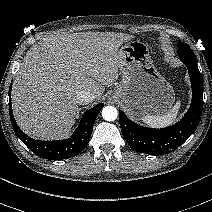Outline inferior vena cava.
Returning <instances> with one entry per match:
<instances>
[{"label": "inferior vena cava", "mask_w": 212, "mask_h": 212, "mask_svg": "<svg viewBox=\"0 0 212 212\" xmlns=\"http://www.w3.org/2000/svg\"><path fill=\"white\" fill-rule=\"evenodd\" d=\"M77 103L85 105L92 102L95 99V94L89 91L80 90L77 92Z\"/></svg>", "instance_id": "1"}]
</instances>
